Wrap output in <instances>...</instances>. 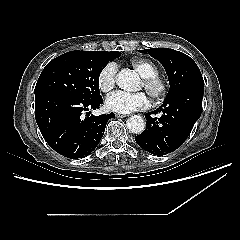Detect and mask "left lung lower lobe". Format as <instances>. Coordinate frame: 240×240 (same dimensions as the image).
Listing matches in <instances>:
<instances>
[{
    "label": "left lung lower lobe",
    "mask_w": 240,
    "mask_h": 240,
    "mask_svg": "<svg viewBox=\"0 0 240 240\" xmlns=\"http://www.w3.org/2000/svg\"><path fill=\"white\" fill-rule=\"evenodd\" d=\"M204 84L184 88L169 98L154 112L147 113L145 131L136 136L137 144L154 155H165L180 147L201 116ZM162 113L160 118L151 114Z\"/></svg>",
    "instance_id": "obj_1"
}]
</instances>
